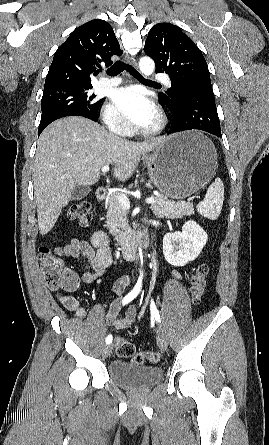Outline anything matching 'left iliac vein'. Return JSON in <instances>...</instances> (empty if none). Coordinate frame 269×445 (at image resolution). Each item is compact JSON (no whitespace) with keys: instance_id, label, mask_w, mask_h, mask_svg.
<instances>
[{"instance_id":"left-iliac-vein-1","label":"left iliac vein","mask_w":269,"mask_h":445,"mask_svg":"<svg viewBox=\"0 0 269 445\" xmlns=\"http://www.w3.org/2000/svg\"><path fill=\"white\" fill-rule=\"evenodd\" d=\"M156 338L159 348L165 351L167 349L168 343L164 331L161 329V327L157 329Z\"/></svg>"}]
</instances>
